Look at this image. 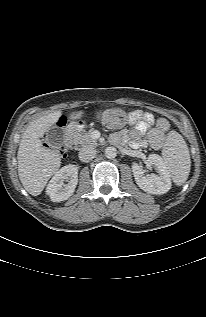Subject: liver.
<instances>
[{
  "mask_svg": "<svg viewBox=\"0 0 206 317\" xmlns=\"http://www.w3.org/2000/svg\"><path fill=\"white\" fill-rule=\"evenodd\" d=\"M83 111L70 114L71 120L79 119ZM62 111L41 116L29 123L20 141L17 159L19 179L32 196L39 195L48 180L61 165L60 155L42 145L41 138L59 120Z\"/></svg>",
  "mask_w": 206,
  "mask_h": 317,
  "instance_id": "1",
  "label": "liver"
}]
</instances>
